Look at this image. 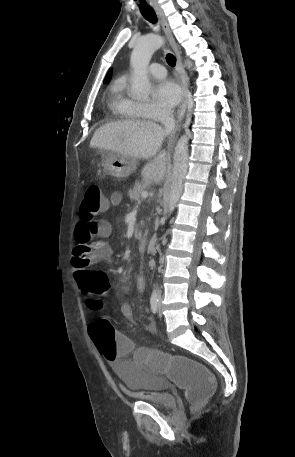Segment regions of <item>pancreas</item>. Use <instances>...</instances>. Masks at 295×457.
I'll return each mask as SVG.
<instances>
[{"mask_svg": "<svg viewBox=\"0 0 295 457\" xmlns=\"http://www.w3.org/2000/svg\"><path fill=\"white\" fill-rule=\"evenodd\" d=\"M145 190H146V186L142 183L137 182L134 184V186L131 189H129L128 195L131 200H139L142 192H144ZM138 236H139V231L136 232V237H138Z\"/></svg>", "mask_w": 295, "mask_h": 457, "instance_id": "pancreas-1", "label": "pancreas"}]
</instances>
